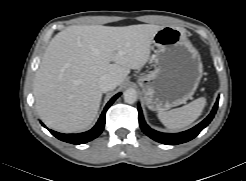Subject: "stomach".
I'll list each match as a JSON object with an SVG mask.
<instances>
[{"label":"stomach","instance_id":"0dacf381","mask_svg":"<svg viewBox=\"0 0 246 181\" xmlns=\"http://www.w3.org/2000/svg\"><path fill=\"white\" fill-rule=\"evenodd\" d=\"M152 44L156 48L155 70L138 79L148 108L156 111L186 103L203 75L199 52L181 27L161 28Z\"/></svg>","mask_w":246,"mask_h":181}]
</instances>
